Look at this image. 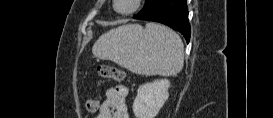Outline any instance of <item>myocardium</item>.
<instances>
[{"label":"myocardium","instance_id":"obj_1","mask_svg":"<svg viewBox=\"0 0 273 118\" xmlns=\"http://www.w3.org/2000/svg\"><path fill=\"white\" fill-rule=\"evenodd\" d=\"M123 1V0H115L114 4H113V8L116 12L120 13V14H132L134 13L136 10H138V8L140 7L141 4V0H128L130 2V7L127 9H120L119 8V3Z\"/></svg>","mask_w":273,"mask_h":118}]
</instances>
